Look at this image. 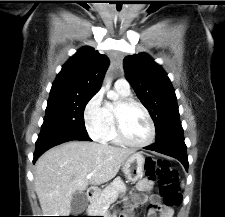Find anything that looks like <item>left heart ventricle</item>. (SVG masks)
<instances>
[{
  "label": "left heart ventricle",
  "instance_id": "left-heart-ventricle-1",
  "mask_svg": "<svg viewBox=\"0 0 225 217\" xmlns=\"http://www.w3.org/2000/svg\"><path fill=\"white\" fill-rule=\"evenodd\" d=\"M122 125L126 137L134 143L145 142L150 135L149 122L137 106L126 108L122 113Z\"/></svg>",
  "mask_w": 225,
  "mask_h": 217
}]
</instances>
